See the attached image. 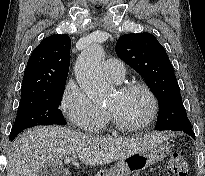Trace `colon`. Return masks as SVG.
Returning a JSON list of instances; mask_svg holds the SVG:
<instances>
[{"instance_id":"obj_1","label":"colon","mask_w":205,"mask_h":176,"mask_svg":"<svg viewBox=\"0 0 205 176\" xmlns=\"http://www.w3.org/2000/svg\"><path fill=\"white\" fill-rule=\"evenodd\" d=\"M168 167L174 176H188V165L182 154L175 152L168 161Z\"/></svg>"}]
</instances>
